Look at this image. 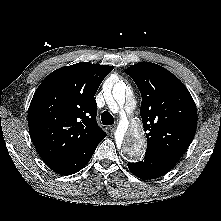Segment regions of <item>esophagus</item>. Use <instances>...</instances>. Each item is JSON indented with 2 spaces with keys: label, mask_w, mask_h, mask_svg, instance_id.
I'll return each instance as SVG.
<instances>
[{
  "label": "esophagus",
  "mask_w": 221,
  "mask_h": 221,
  "mask_svg": "<svg viewBox=\"0 0 221 221\" xmlns=\"http://www.w3.org/2000/svg\"><path fill=\"white\" fill-rule=\"evenodd\" d=\"M116 129V125H112L109 127L110 132H114Z\"/></svg>",
  "instance_id": "esophagus-1"
}]
</instances>
